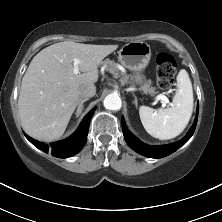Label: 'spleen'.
Masks as SVG:
<instances>
[{"mask_svg":"<svg viewBox=\"0 0 222 222\" xmlns=\"http://www.w3.org/2000/svg\"><path fill=\"white\" fill-rule=\"evenodd\" d=\"M192 111V84L188 73L182 69L177 75V91L171 107L155 110L148 106H140L139 115L143 127L151 136L168 140L175 138L184 131Z\"/></svg>","mask_w":222,"mask_h":222,"instance_id":"3e777b00","label":"spleen"}]
</instances>
